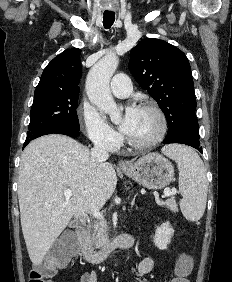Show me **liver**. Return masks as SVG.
<instances>
[{
	"mask_svg": "<svg viewBox=\"0 0 232 282\" xmlns=\"http://www.w3.org/2000/svg\"><path fill=\"white\" fill-rule=\"evenodd\" d=\"M110 163L94 166L91 152L76 140L51 134L29 143L22 153L18 198L30 260L39 265L71 218L99 211L116 189ZM72 191L71 198L64 196Z\"/></svg>",
	"mask_w": 232,
	"mask_h": 282,
	"instance_id": "1",
	"label": "liver"
}]
</instances>
